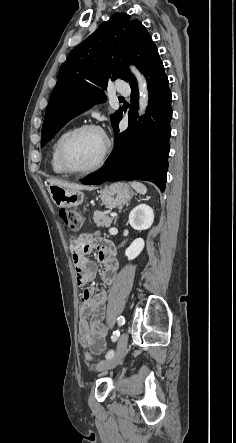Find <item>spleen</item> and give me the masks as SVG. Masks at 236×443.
Wrapping results in <instances>:
<instances>
[{
    "label": "spleen",
    "instance_id": "spleen-1",
    "mask_svg": "<svg viewBox=\"0 0 236 443\" xmlns=\"http://www.w3.org/2000/svg\"><path fill=\"white\" fill-rule=\"evenodd\" d=\"M132 188H134V190H136L137 193L145 195L147 192V188L144 184L140 183V182H136L133 181L130 183Z\"/></svg>",
    "mask_w": 236,
    "mask_h": 443
}]
</instances>
